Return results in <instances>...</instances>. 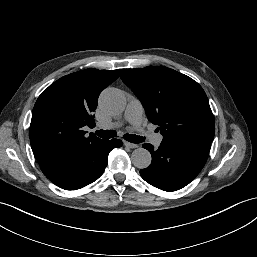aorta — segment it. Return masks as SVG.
I'll use <instances>...</instances> for the list:
<instances>
[{
	"instance_id": "obj_1",
	"label": "aorta",
	"mask_w": 257,
	"mask_h": 257,
	"mask_svg": "<svg viewBox=\"0 0 257 257\" xmlns=\"http://www.w3.org/2000/svg\"><path fill=\"white\" fill-rule=\"evenodd\" d=\"M101 108L111 115H117L124 111L126 98L122 91L115 88L105 89L99 98ZM151 154L144 148H137L131 154L133 165L139 169L147 168L151 164Z\"/></svg>"
}]
</instances>
